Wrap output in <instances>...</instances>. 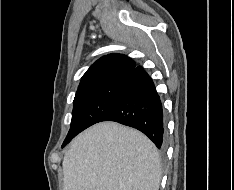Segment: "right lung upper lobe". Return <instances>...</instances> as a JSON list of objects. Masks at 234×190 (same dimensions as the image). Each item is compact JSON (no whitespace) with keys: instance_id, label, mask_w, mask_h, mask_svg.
Masks as SVG:
<instances>
[{"instance_id":"cb5924a9","label":"right lung upper lobe","mask_w":234,"mask_h":190,"mask_svg":"<svg viewBox=\"0 0 234 190\" xmlns=\"http://www.w3.org/2000/svg\"><path fill=\"white\" fill-rule=\"evenodd\" d=\"M136 63L123 54H108L98 59L83 75L77 91L116 79H125Z\"/></svg>"}]
</instances>
